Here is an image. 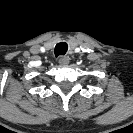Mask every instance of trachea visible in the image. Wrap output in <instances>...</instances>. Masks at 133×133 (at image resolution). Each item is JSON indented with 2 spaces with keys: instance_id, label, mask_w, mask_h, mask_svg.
Masks as SVG:
<instances>
[{
  "instance_id": "3493384b",
  "label": "trachea",
  "mask_w": 133,
  "mask_h": 133,
  "mask_svg": "<svg viewBox=\"0 0 133 133\" xmlns=\"http://www.w3.org/2000/svg\"><path fill=\"white\" fill-rule=\"evenodd\" d=\"M68 50V45L65 42H60L55 46V56L65 55Z\"/></svg>"
}]
</instances>
